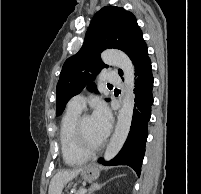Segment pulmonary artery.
<instances>
[{
    "instance_id": "1",
    "label": "pulmonary artery",
    "mask_w": 201,
    "mask_h": 194,
    "mask_svg": "<svg viewBox=\"0 0 201 194\" xmlns=\"http://www.w3.org/2000/svg\"><path fill=\"white\" fill-rule=\"evenodd\" d=\"M102 80L105 83L110 84H120L121 83V77L116 72H106L103 75ZM85 97L82 94L76 95L72 97L68 103V106L74 109L82 110L85 106Z\"/></svg>"
}]
</instances>
